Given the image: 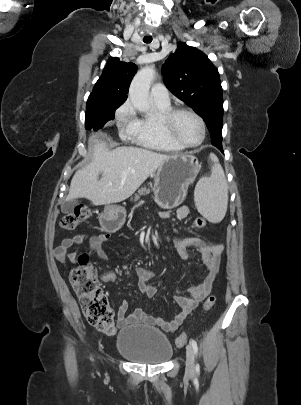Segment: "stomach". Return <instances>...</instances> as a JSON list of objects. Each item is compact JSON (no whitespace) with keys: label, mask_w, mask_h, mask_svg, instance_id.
Here are the masks:
<instances>
[{"label":"stomach","mask_w":301,"mask_h":405,"mask_svg":"<svg viewBox=\"0 0 301 405\" xmlns=\"http://www.w3.org/2000/svg\"><path fill=\"white\" fill-rule=\"evenodd\" d=\"M199 169L198 159L191 153L169 156L155 174L153 193L156 203L166 209L179 206L186 198L188 187L195 181ZM100 220L108 231H116L124 223L125 212L118 208H107Z\"/></svg>","instance_id":"0dacf381"}]
</instances>
